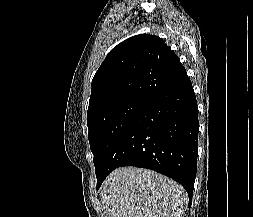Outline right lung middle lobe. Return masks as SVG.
I'll return each mask as SVG.
<instances>
[{
	"instance_id": "right-lung-middle-lobe-1",
	"label": "right lung middle lobe",
	"mask_w": 253,
	"mask_h": 217,
	"mask_svg": "<svg viewBox=\"0 0 253 217\" xmlns=\"http://www.w3.org/2000/svg\"><path fill=\"white\" fill-rule=\"evenodd\" d=\"M148 101L141 97L125 98L104 106L87 118L97 180L105 173L106 160L115 143Z\"/></svg>"
}]
</instances>
